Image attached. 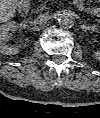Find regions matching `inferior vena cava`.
Listing matches in <instances>:
<instances>
[{
	"label": "inferior vena cava",
	"instance_id": "obj_1",
	"mask_svg": "<svg viewBox=\"0 0 100 118\" xmlns=\"http://www.w3.org/2000/svg\"><path fill=\"white\" fill-rule=\"evenodd\" d=\"M49 20V16L46 14H40L34 18V23L37 25H43Z\"/></svg>",
	"mask_w": 100,
	"mask_h": 118
}]
</instances>
